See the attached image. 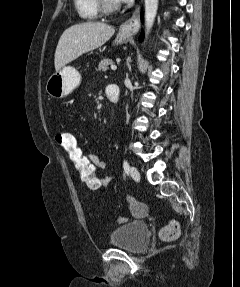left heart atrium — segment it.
Segmentation results:
<instances>
[{
  "label": "left heart atrium",
  "mask_w": 240,
  "mask_h": 287,
  "mask_svg": "<svg viewBox=\"0 0 240 287\" xmlns=\"http://www.w3.org/2000/svg\"><path fill=\"white\" fill-rule=\"evenodd\" d=\"M116 2H128V1H131V0H115Z\"/></svg>",
  "instance_id": "obj_1"
}]
</instances>
